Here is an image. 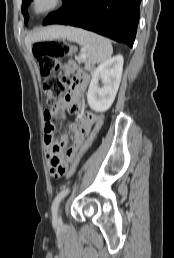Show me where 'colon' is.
Here are the masks:
<instances>
[{
    "mask_svg": "<svg viewBox=\"0 0 174 258\" xmlns=\"http://www.w3.org/2000/svg\"><path fill=\"white\" fill-rule=\"evenodd\" d=\"M33 53L37 59L41 74L46 77L43 83V91L46 100L48 104L54 108L57 100L73 85V81L70 78H60L55 76L54 73L59 68L60 59L71 56L74 53V47L63 40L40 41L33 45ZM54 117L60 119L62 118V114L56 111ZM103 121L104 118L102 115L96 116L91 131L66 172L67 177H72L75 174L82 156L96 141L103 126Z\"/></svg>",
    "mask_w": 174,
    "mask_h": 258,
    "instance_id": "colon-1",
    "label": "colon"
}]
</instances>
